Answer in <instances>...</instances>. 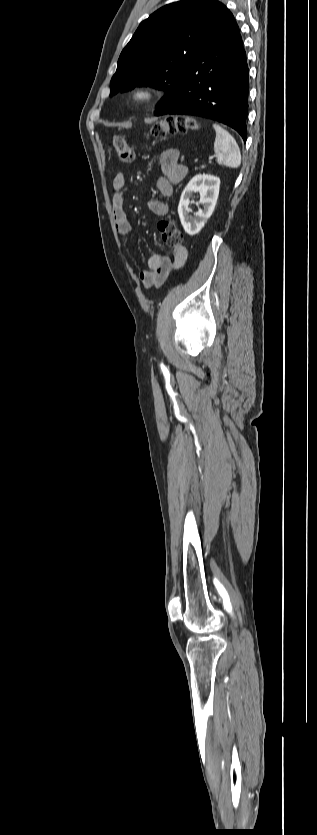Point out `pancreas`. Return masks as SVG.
I'll return each mask as SVG.
<instances>
[{
  "label": "pancreas",
  "mask_w": 317,
  "mask_h": 835,
  "mask_svg": "<svg viewBox=\"0 0 317 835\" xmlns=\"http://www.w3.org/2000/svg\"><path fill=\"white\" fill-rule=\"evenodd\" d=\"M204 167H205L204 165L201 166V168H204Z\"/></svg>",
  "instance_id": "cf45deb5"
}]
</instances>
